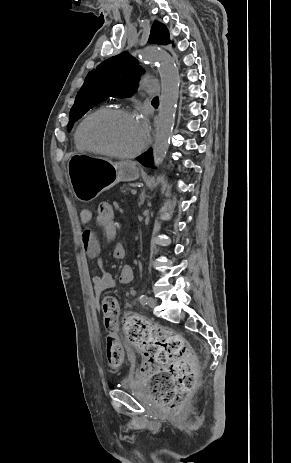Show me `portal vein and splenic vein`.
Masks as SVG:
<instances>
[{
    "label": "portal vein and splenic vein",
    "instance_id": "1",
    "mask_svg": "<svg viewBox=\"0 0 291 463\" xmlns=\"http://www.w3.org/2000/svg\"><path fill=\"white\" fill-rule=\"evenodd\" d=\"M131 193H132V194H136V190H135V189H131Z\"/></svg>",
    "mask_w": 291,
    "mask_h": 463
}]
</instances>
